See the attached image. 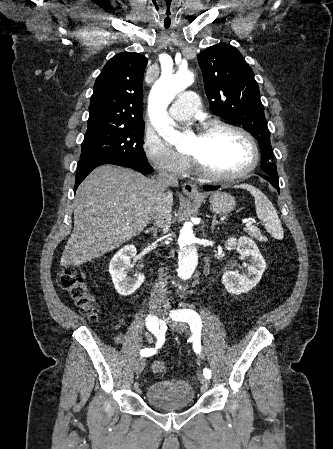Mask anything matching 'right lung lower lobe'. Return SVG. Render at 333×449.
<instances>
[{
    "label": "right lung lower lobe",
    "instance_id": "right-lung-lower-lobe-1",
    "mask_svg": "<svg viewBox=\"0 0 333 449\" xmlns=\"http://www.w3.org/2000/svg\"><path fill=\"white\" fill-rule=\"evenodd\" d=\"M104 164H113L119 165L123 167L132 168L138 172L149 174L153 172L152 166L146 163H136V162H126L121 159H94V160H81L78 163L77 173H76V182L74 187V192L76 191L78 185L85 179V177L91 172L93 169L100 165Z\"/></svg>",
    "mask_w": 333,
    "mask_h": 449
}]
</instances>
